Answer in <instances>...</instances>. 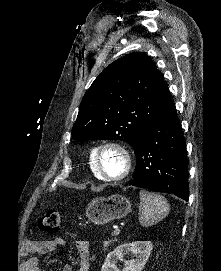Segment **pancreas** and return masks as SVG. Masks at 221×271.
I'll list each match as a JSON object with an SVG mask.
<instances>
[{"label": "pancreas", "mask_w": 221, "mask_h": 271, "mask_svg": "<svg viewBox=\"0 0 221 271\" xmlns=\"http://www.w3.org/2000/svg\"><path fill=\"white\" fill-rule=\"evenodd\" d=\"M117 243L116 239H105L104 242H102V247H114V244Z\"/></svg>", "instance_id": "1"}]
</instances>
